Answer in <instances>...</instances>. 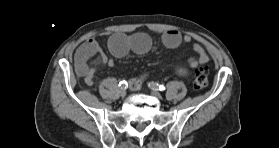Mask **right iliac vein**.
<instances>
[{
	"label": "right iliac vein",
	"instance_id": "right-iliac-vein-1",
	"mask_svg": "<svg viewBox=\"0 0 279 148\" xmlns=\"http://www.w3.org/2000/svg\"><path fill=\"white\" fill-rule=\"evenodd\" d=\"M119 93H120L121 97H125L126 96V90L125 89H121Z\"/></svg>",
	"mask_w": 279,
	"mask_h": 148
}]
</instances>
